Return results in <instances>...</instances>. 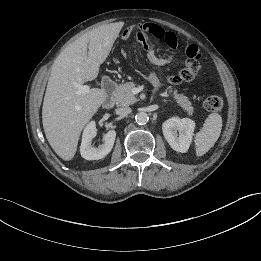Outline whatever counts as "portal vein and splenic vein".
Segmentation results:
<instances>
[{
    "label": "portal vein and splenic vein",
    "mask_w": 261,
    "mask_h": 261,
    "mask_svg": "<svg viewBox=\"0 0 261 261\" xmlns=\"http://www.w3.org/2000/svg\"><path fill=\"white\" fill-rule=\"evenodd\" d=\"M76 88H77V92L79 94H85L87 92H89L90 87L88 85H80V84H75Z\"/></svg>",
    "instance_id": "portal-vein-and-splenic-vein-1"
}]
</instances>
